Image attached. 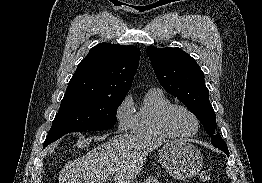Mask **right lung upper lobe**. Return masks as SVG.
I'll list each match as a JSON object with an SVG mask.
<instances>
[{"instance_id":"cb5924a9","label":"right lung upper lobe","mask_w":262,"mask_h":183,"mask_svg":"<svg viewBox=\"0 0 262 183\" xmlns=\"http://www.w3.org/2000/svg\"><path fill=\"white\" fill-rule=\"evenodd\" d=\"M140 59L135 46L100 43L91 48L69 81L66 94L125 97Z\"/></svg>"}]
</instances>
